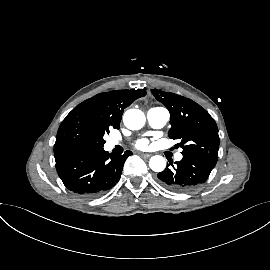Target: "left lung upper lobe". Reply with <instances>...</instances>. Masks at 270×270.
<instances>
[{
	"instance_id": "obj_1",
	"label": "left lung upper lobe",
	"mask_w": 270,
	"mask_h": 270,
	"mask_svg": "<svg viewBox=\"0 0 270 270\" xmlns=\"http://www.w3.org/2000/svg\"><path fill=\"white\" fill-rule=\"evenodd\" d=\"M151 92L170 112L168 136L180 140L177 145H182V155H193L216 164L220 138L216 122L209 113L183 96L158 89Z\"/></svg>"
}]
</instances>
